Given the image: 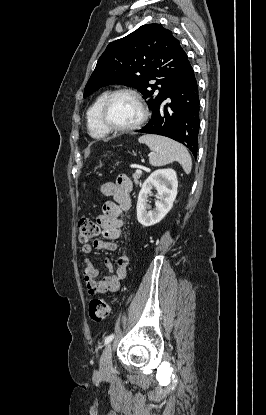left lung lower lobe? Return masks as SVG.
<instances>
[{
    "instance_id": "0a47b994",
    "label": "left lung lower lobe",
    "mask_w": 266,
    "mask_h": 415,
    "mask_svg": "<svg viewBox=\"0 0 266 415\" xmlns=\"http://www.w3.org/2000/svg\"><path fill=\"white\" fill-rule=\"evenodd\" d=\"M167 98L171 99L166 103ZM149 123L137 132L169 137L185 145L196 157L199 133V91L194 70L188 61Z\"/></svg>"
}]
</instances>
